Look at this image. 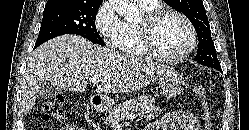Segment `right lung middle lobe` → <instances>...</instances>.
<instances>
[{
    "label": "right lung middle lobe",
    "instance_id": "dd1d6c3e",
    "mask_svg": "<svg viewBox=\"0 0 249 130\" xmlns=\"http://www.w3.org/2000/svg\"><path fill=\"white\" fill-rule=\"evenodd\" d=\"M100 4L59 1L46 5L35 47L63 34H77L103 46L104 41L99 36L95 26Z\"/></svg>",
    "mask_w": 249,
    "mask_h": 130
}]
</instances>
